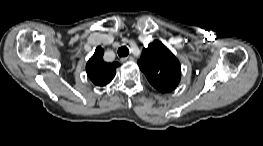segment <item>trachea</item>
Wrapping results in <instances>:
<instances>
[{
  "mask_svg": "<svg viewBox=\"0 0 263 146\" xmlns=\"http://www.w3.org/2000/svg\"><path fill=\"white\" fill-rule=\"evenodd\" d=\"M129 54V49L126 46H122L118 49V55L120 57H126Z\"/></svg>",
  "mask_w": 263,
  "mask_h": 146,
  "instance_id": "3493384b",
  "label": "trachea"
}]
</instances>
